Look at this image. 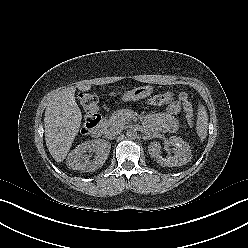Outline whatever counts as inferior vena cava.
I'll use <instances>...</instances> for the list:
<instances>
[{"mask_svg":"<svg viewBox=\"0 0 248 248\" xmlns=\"http://www.w3.org/2000/svg\"><path fill=\"white\" fill-rule=\"evenodd\" d=\"M121 131H122L121 127H113L108 130L107 135L110 137L116 136V135H119Z\"/></svg>","mask_w":248,"mask_h":248,"instance_id":"inferior-vena-cava-1","label":"inferior vena cava"}]
</instances>
